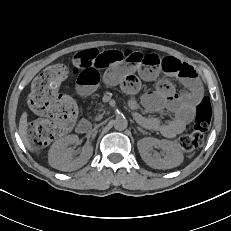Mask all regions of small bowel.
<instances>
[{"label": "small bowel", "instance_id": "small-bowel-1", "mask_svg": "<svg viewBox=\"0 0 231 231\" xmlns=\"http://www.w3.org/2000/svg\"><path fill=\"white\" fill-rule=\"evenodd\" d=\"M93 52V51H91ZM118 50L103 52L107 58L119 53ZM86 52H82L84 54ZM105 68L103 74L100 70ZM147 81L157 80L161 73L178 79L186 92L177 93L174 87L166 80L157 82L156 89L145 93L142 103L146 109L158 112L169 110L173 119L162 122L153 117H144L136 114V119L144 127L161 132L166 137H174L184 131L193 118L195 108L202 101L203 91L194 69L173 57L160 58L154 54L142 62L113 60L107 65L100 62L83 67L77 77V92L81 97L89 96L96 87L103 82L109 86L119 85L129 94L140 89V78ZM132 107L136 106L131 101Z\"/></svg>", "mask_w": 231, "mask_h": 231}]
</instances>
